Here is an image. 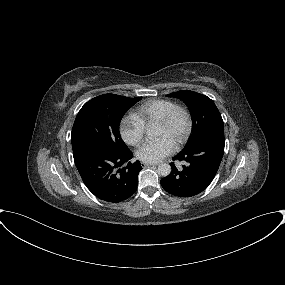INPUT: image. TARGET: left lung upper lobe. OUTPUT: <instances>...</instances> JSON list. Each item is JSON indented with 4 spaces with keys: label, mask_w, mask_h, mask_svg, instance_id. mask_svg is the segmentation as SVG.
Masks as SVG:
<instances>
[{
    "label": "left lung upper lobe",
    "mask_w": 285,
    "mask_h": 285,
    "mask_svg": "<svg viewBox=\"0 0 285 285\" xmlns=\"http://www.w3.org/2000/svg\"><path fill=\"white\" fill-rule=\"evenodd\" d=\"M167 96L181 99L189 108L192 117V135L185 149L195 145L213 130L224 129L221 114L209 97L189 90L174 92Z\"/></svg>",
    "instance_id": "obj_1"
}]
</instances>
